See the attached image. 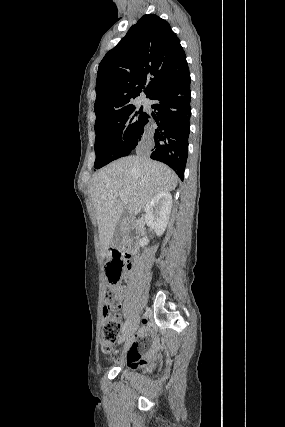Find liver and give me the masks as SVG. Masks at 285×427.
<instances>
[{"mask_svg": "<svg viewBox=\"0 0 285 427\" xmlns=\"http://www.w3.org/2000/svg\"><path fill=\"white\" fill-rule=\"evenodd\" d=\"M175 172L145 154L127 156L101 169L90 186V198L95 210L102 255L112 241L116 225L124 209L137 215L158 193L177 186ZM126 196L125 206L119 194Z\"/></svg>", "mask_w": 285, "mask_h": 427, "instance_id": "1", "label": "liver"}]
</instances>
